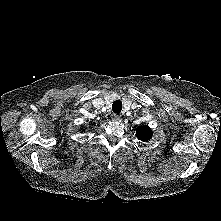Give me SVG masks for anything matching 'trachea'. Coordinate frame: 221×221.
<instances>
[{
    "mask_svg": "<svg viewBox=\"0 0 221 221\" xmlns=\"http://www.w3.org/2000/svg\"><path fill=\"white\" fill-rule=\"evenodd\" d=\"M112 110L114 113L119 114L122 110V102L120 100H116L112 104Z\"/></svg>",
    "mask_w": 221,
    "mask_h": 221,
    "instance_id": "trachea-1",
    "label": "trachea"
}]
</instances>
